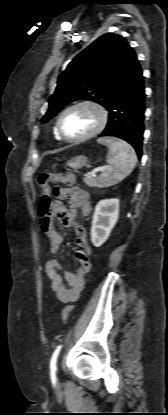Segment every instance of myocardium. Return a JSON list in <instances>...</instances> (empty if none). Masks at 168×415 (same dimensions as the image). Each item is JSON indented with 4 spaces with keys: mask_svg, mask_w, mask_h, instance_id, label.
Here are the masks:
<instances>
[{
    "mask_svg": "<svg viewBox=\"0 0 168 415\" xmlns=\"http://www.w3.org/2000/svg\"><path fill=\"white\" fill-rule=\"evenodd\" d=\"M79 107H90L92 108L98 115V122L96 124V126L88 133L80 136V137H76V138H70L67 137L62 129V120L63 117L65 116V114L67 112H69L70 110H73L75 108H79ZM108 122V112L106 110V108L99 102L94 101V100H90V99H85V100H81L78 102H75L71 105H69L68 107H66L59 115L57 122H56V129L58 132V135L60 136V138L66 142H71V143H75V142H82L85 140H88L96 135H98L100 132L103 131V129L105 128L106 124Z\"/></svg>",
    "mask_w": 168,
    "mask_h": 415,
    "instance_id": "f54148a6",
    "label": "myocardium"
}]
</instances>
